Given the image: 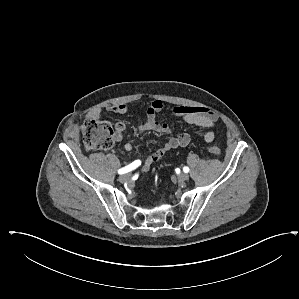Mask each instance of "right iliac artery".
Segmentation results:
<instances>
[{
  "label": "right iliac artery",
  "mask_w": 299,
  "mask_h": 299,
  "mask_svg": "<svg viewBox=\"0 0 299 299\" xmlns=\"http://www.w3.org/2000/svg\"><path fill=\"white\" fill-rule=\"evenodd\" d=\"M139 165H141V161L136 160V161L132 162L131 164H129L128 166H125V167L119 169L118 174L122 175V174L128 173V172L136 169Z\"/></svg>",
  "instance_id": "82829eb1"
}]
</instances>
